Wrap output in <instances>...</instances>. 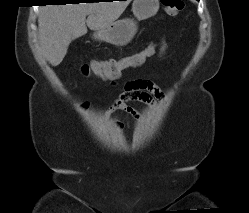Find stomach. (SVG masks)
Masks as SVG:
<instances>
[{
  "instance_id": "stomach-1",
  "label": "stomach",
  "mask_w": 249,
  "mask_h": 213,
  "mask_svg": "<svg viewBox=\"0 0 249 213\" xmlns=\"http://www.w3.org/2000/svg\"><path fill=\"white\" fill-rule=\"evenodd\" d=\"M158 10L159 0H134L132 4L133 14L139 21L154 16ZM136 32L137 22L134 19L125 18L97 30L93 36L100 41L124 46L133 39Z\"/></svg>"
}]
</instances>
